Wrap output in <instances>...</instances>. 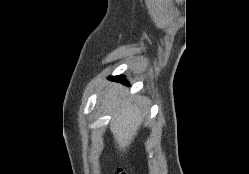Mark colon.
<instances>
[{
	"instance_id": "1",
	"label": "colon",
	"mask_w": 249,
	"mask_h": 174,
	"mask_svg": "<svg viewBox=\"0 0 249 174\" xmlns=\"http://www.w3.org/2000/svg\"><path fill=\"white\" fill-rule=\"evenodd\" d=\"M115 174H128V172L125 169L119 168L116 170Z\"/></svg>"
}]
</instances>
